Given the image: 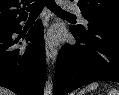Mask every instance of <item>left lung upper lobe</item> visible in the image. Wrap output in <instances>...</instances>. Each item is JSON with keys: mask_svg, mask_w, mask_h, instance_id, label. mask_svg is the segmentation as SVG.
Segmentation results:
<instances>
[{"mask_svg": "<svg viewBox=\"0 0 119 95\" xmlns=\"http://www.w3.org/2000/svg\"><path fill=\"white\" fill-rule=\"evenodd\" d=\"M73 1V0H71ZM88 25L119 28V0H76ZM80 29H85L78 25Z\"/></svg>", "mask_w": 119, "mask_h": 95, "instance_id": "5c2ea615", "label": "left lung upper lobe"}]
</instances>
